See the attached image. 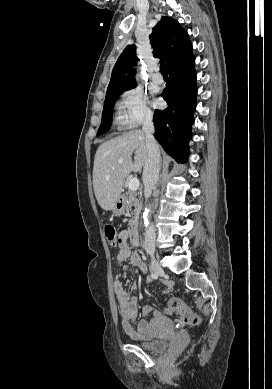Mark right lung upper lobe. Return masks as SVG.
Segmentation results:
<instances>
[{
  "instance_id": "1",
  "label": "right lung upper lobe",
  "mask_w": 272,
  "mask_h": 389,
  "mask_svg": "<svg viewBox=\"0 0 272 389\" xmlns=\"http://www.w3.org/2000/svg\"><path fill=\"white\" fill-rule=\"evenodd\" d=\"M149 37L154 57H159L163 63H166L168 70L193 55L187 31L170 17H162L153 27V32ZM136 62L135 45H128L113 68L106 96L136 86L135 70L131 69Z\"/></svg>"
}]
</instances>
